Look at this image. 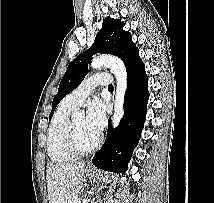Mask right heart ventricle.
Wrapping results in <instances>:
<instances>
[{
    "instance_id": "obj_1",
    "label": "right heart ventricle",
    "mask_w": 214,
    "mask_h": 203,
    "mask_svg": "<svg viewBox=\"0 0 214 203\" xmlns=\"http://www.w3.org/2000/svg\"><path fill=\"white\" fill-rule=\"evenodd\" d=\"M78 107L71 104L67 97L62 101L49 125L47 134V153L52 162L64 164L73 160L65 146L66 133L72 113Z\"/></svg>"
}]
</instances>
